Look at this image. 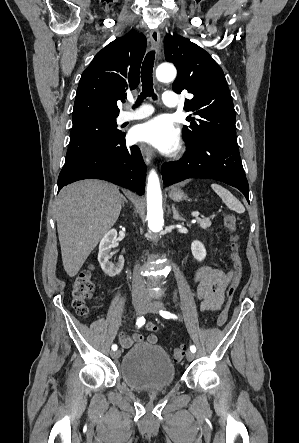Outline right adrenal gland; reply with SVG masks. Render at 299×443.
I'll use <instances>...</instances> for the list:
<instances>
[{"label": "right adrenal gland", "mask_w": 299, "mask_h": 443, "mask_svg": "<svg viewBox=\"0 0 299 443\" xmlns=\"http://www.w3.org/2000/svg\"><path fill=\"white\" fill-rule=\"evenodd\" d=\"M127 202H128L127 199L124 196H122V207H124L125 206L124 204Z\"/></svg>", "instance_id": "2a0ac1e0"}]
</instances>
